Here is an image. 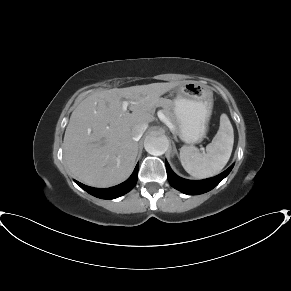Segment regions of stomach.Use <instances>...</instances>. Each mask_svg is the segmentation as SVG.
Listing matches in <instances>:
<instances>
[{"mask_svg":"<svg viewBox=\"0 0 291 291\" xmlns=\"http://www.w3.org/2000/svg\"><path fill=\"white\" fill-rule=\"evenodd\" d=\"M173 114L179 136L187 144L200 142L208 131L213 109V92L205 85L188 81L175 89Z\"/></svg>","mask_w":291,"mask_h":291,"instance_id":"1","label":"stomach"}]
</instances>
